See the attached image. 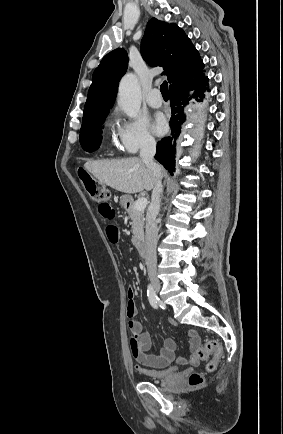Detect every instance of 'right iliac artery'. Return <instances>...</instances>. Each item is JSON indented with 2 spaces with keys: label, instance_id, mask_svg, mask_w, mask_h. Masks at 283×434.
Returning <instances> with one entry per match:
<instances>
[{
  "label": "right iliac artery",
  "instance_id": "obj_1",
  "mask_svg": "<svg viewBox=\"0 0 283 434\" xmlns=\"http://www.w3.org/2000/svg\"><path fill=\"white\" fill-rule=\"evenodd\" d=\"M147 296H148V299H149L151 306L153 308L157 309L159 306V298L156 295L155 290L152 287V285H148Z\"/></svg>",
  "mask_w": 283,
  "mask_h": 434
}]
</instances>
